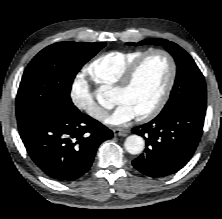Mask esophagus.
I'll list each match as a JSON object with an SVG mask.
<instances>
[{"label": "esophagus", "instance_id": "34e87169", "mask_svg": "<svg viewBox=\"0 0 222 219\" xmlns=\"http://www.w3.org/2000/svg\"><path fill=\"white\" fill-rule=\"evenodd\" d=\"M113 133H114V136H125L129 133V130L123 129V128H114Z\"/></svg>", "mask_w": 222, "mask_h": 219}]
</instances>
